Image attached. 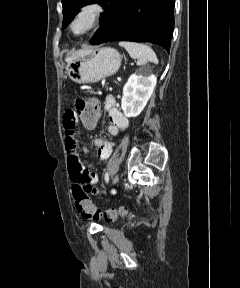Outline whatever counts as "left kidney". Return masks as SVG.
Returning <instances> with one entry per match:
<instances>
[{
  "instance_id": "obj_1",
  "label": "left kidney",
  "mask_w": 240,
  "mask_h": 288,
  "mask_svg": "<svg viewBox=\"0 0 240 288\" xmlns=\"http://www.w3.org/2000/svg\"><path fill=\"white\" fill-rule=\"evenodd\" d=\"M157 78L149 68L132 74L123 88L121 108L126 117H137L145 108L156 86Z\"/></svg>"
}]
</instances>
